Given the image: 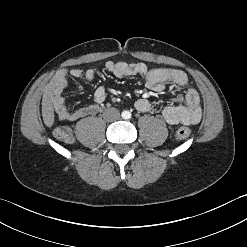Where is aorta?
<instances>
[{
    "instance_id": "aorta-1",
    "label": "aorta",
    "mask_w": 247,
    "mask_h": 247,
    "mask_svg": "<svg viewBox=\"0 0 247 247\" xmlns=\"http://www.w3.org/2000/svg\"><path fill=\"white\" fill-rule=\"evenodd\" d=\"M122 117L124 119H129L131 117V113L129 111H123L122 112Z\"/></svg>"
}]
</instances>
